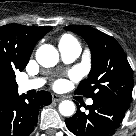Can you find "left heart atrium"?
I'll return each mask as SVG.
<instances>
[{
	"instance_id": "1",
	"label": "left heart atrium",
	"mask_w": 136,
	"mask_h": 136,
	"mask_svg": "<svg viewBox=\"0 0 136 136\" xmlns=\"http://www.w3.org/2000/svg\"><path fill=\"white\" fill-rule=\"evenodd\" d=\"M61 84H62V81H57L55 85L60 86Z\"/></svg>"
}]
</instances>
